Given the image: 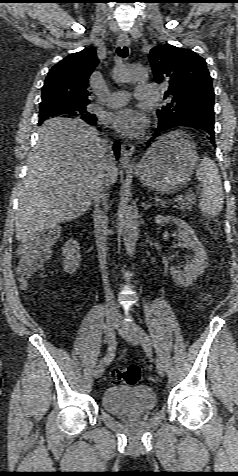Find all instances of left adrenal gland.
I'll list each match as a JSON object with an SVG mask.
<instances>
[{
    "instance_id": "1",
    "label": "left adrenal gland",
    "mask_w": 238,
    "mask_h": 476,
    "mask_svg": "<svg viewBox=\"0 0 238 476\" xmlns=\"http://www.w3.org/2000/svg\"><path fill=\"white\" fill-rule=\"evenodd\" d=\"M158 206V203H148L147 201H143L142 206L145 211H147L151 206Z\"/></svg>"
}]
</instances>
